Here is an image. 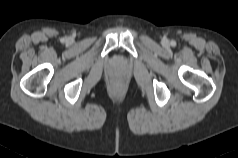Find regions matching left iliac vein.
Returning <instances> with one entry per match:
<instances>
[{"label": "left iliac vein", "mask_w": 238, "mask_h": 158, "mask_svg": "<svg viewBox=\"0 0 238 158\" xmlns=\"http://www.w3.org/2000/svg\"><path fill=\"white\" fill-rule=\"evenodd\" d=\"M165 44H168V42H167V41H165Z\"/></svg>", "instance_id": "left-iliac-vein-1"}]
</instances>
